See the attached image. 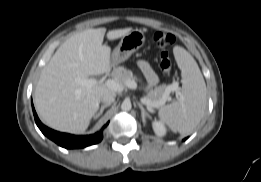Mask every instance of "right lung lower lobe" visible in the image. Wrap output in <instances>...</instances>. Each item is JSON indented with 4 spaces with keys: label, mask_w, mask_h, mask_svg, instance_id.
I'll return each mask as SVG.
<instances>
[{
    "label": "right lung lower lobe",
    "mask_w": 261,
    "mask_h": 182,
    "mask_svg": "<svg viewBox=\"0 0 261 182\" xmlns=\"http://www.w3.org/2000/svg\"><path fill=\"white\" fill-rule=\"evenodd\" d=\"M32 108H33L35 122L39 127V129L42 131L44 135H46L49 139L53 140L59 146H62L67 149L84 148L100 142L103 138L101 132H97L93 135H87V136H75V135L54 131L41 123V121L39 120L35 112L33 103H32Z\"/></svg>",
    "instance_id": "1"
}]
</instances>
